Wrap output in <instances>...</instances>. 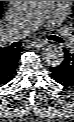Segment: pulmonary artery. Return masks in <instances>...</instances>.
<instances>
[{
  "label": "pulmonary artery",
  "mask_w": 74,
  "mask_h": 122,
  "mask_svg": "<svg viewBox=\"0 0 74 122\" xmlns=\"http://www.w3.org/2000/svg\"><path fill=\"white\" fill-rule=\"evenodd\" d=\"M55 4L56 1H39L33 11L24 15L4 32L3 39L13 42L36 30L43 20L52 13ZM58 34L62 38L67 36L63 30H59Z\"/></svg>",
  "instance_id": "obj_1"
}]
</instances>
